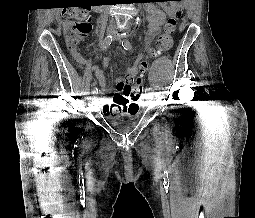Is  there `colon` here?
Listing matches in <instances>:
<instances>
[{"label": "colon", "mask_w": 255, "mask_h": 218, "mask_svg": "<svg viewBox=\"0 0 255 218\" xmlns=\"http://www.w3.org/2000/svg\"><path fill=\"white\" fill-rule=\"evenodd\" d=\"M179 5L182 0H166ZM181 8L178 6L174 14L170 15L165 25L163 33L157 40L158 51H165L170 48L172 38L175 31V26L178 17L181 15ZM62 18L64 20L65 37L69 48L75 52L78 43L86 37L91 31L92 17L87 9L83 7H68L62 11ZM79 60V57L76 56ZM141 70L144 69V64L140 65ZM126 92L129 93L130 98L138 97L141 95L143 86L140 79L134 81L131 85L124 86ZM135 112L136 107L130 104L122 105L118 109L119 112Z\"/></svg>", "instance_id": "obj_1"}]
</instances>
